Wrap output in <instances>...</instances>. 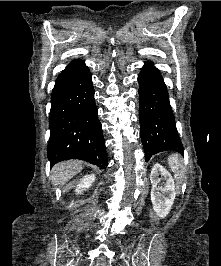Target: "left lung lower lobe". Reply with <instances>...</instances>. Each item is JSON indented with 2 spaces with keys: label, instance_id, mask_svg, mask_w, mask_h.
<instances>
[{
  "label": "left lung lower lobe",
  "instance_id": "1",
  "mask_svg": "<svg viewBox=\"0 0 221 266\" xmlns=\"http://www.w3.org/2000/svg\"><path fill=\"white\" fill-rule=\"evenodd\" d=\"M138 82L140 134L145 161L162 151L173 150L183 154L168 91L159 70L146 62L138 75Z\"/></svg>",
  "mask_w": 221,
  "mask_h": 266
}]
</instances>
